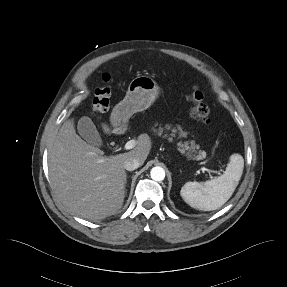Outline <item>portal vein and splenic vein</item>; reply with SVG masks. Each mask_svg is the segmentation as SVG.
I'll list each match as a JSON object with an SVG mask.
<instances>
[{
    "mask_svg": "<svg viewBox=\"0 0 287 287\" xmlns=\"http://www.w3.org/2000/svg\"><path fill=\"white\" fill-rule=\"evenodd\" d=\"M136 144H137L136 140H134V139L129 140V141L125 144L124 149H125V150L133 149V148L136 146ZM201 170H202V172H207L210 176H211V174H218V175L221 174L220 171L211 170V169H208V168H206V167H204V166L201 167ZM211 178H212V176H211Z\"/></svg>",
    "mask_w": 287,
    "mask_h": 287,
    "instance_id": "1",
    "label": "portal vein and splenic vein"
}]
</instances>
